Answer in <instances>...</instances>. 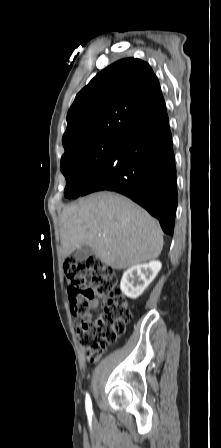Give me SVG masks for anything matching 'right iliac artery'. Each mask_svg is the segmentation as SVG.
I'll use <instances>...</instances> for the list:
<instances>
[{
    "label": "right iliac artery",
    "mask_w": 221,
    "mask_h": 448,
    "mask_svg": "<svg viewBox=\"0 0 221 448\" xmlns=\"http://www.w3.org/2000/svg\"><path fill=\"white\" fill-rule=\"evenodd\" d=\"M86 411L87 413H92V404L89 395H86Z\"/></svg>",
    "instance_id": "82829eb1"
}]
</instances>
